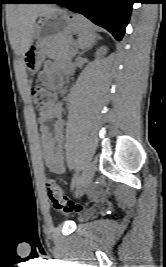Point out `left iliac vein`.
Listing matches in <instances>:
<instances>
[{"label":"left iliac vein","instance_id":"4c4485c4","mask_svg":"<svg viewBox=\"0 0 166 267\" xmlns=\"http://www.w3.org/2000/svg\"><path fill=\"white\" fill-rule=\"evenodd\" d=\"M95 173V166L93 162H89L77 184L75 196H82L90 187Z\"/></svg>","mask_w":166,"mask_h":267}]
</instances>
